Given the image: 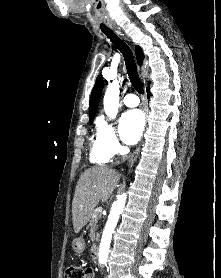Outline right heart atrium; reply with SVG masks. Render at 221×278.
Listing matches in <instances>:
<instances>
[{
    "label": "right heart atrium",
    "instance_id": "right-heart-atrium-1",
    "mask_svg": "<svg viewBox=\"0 0 221 278\" xmlns=\"http://www.w3.org/2000/svg\"><path fill=\"white\" fill-rule=\"evenodd\" d=\"M97 136L111 157L119 154L122 151V145L119 142L116 130L111 123L102 120L98 125Z\"/></svg>",
    "mask_w": 221,
    "mask_h": 278
}]
</instances>
